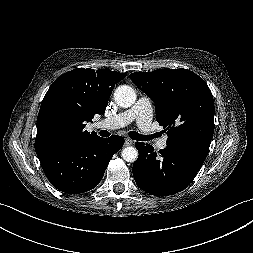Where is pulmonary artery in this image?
<instances>
[{"mask_svg": "<svg viewBox=\"0 0 253 253\" xmlns=\"http://www.w3.org/2000/svg\"><path fill=\"white\" fill-rule=\"evenodd\" d=\"M152 113L151 101L146 97H142L128 110L103 120L100 123V126L115 129L124 127L129 123L136 121L138 127L146 133L147 136H152L154 138L155 135H152L151 133ZM167 140V136L158 139L156 141V147L158 149L167 148Z\"/></svg>", "mask_w": 253, "mask_h": 253, "instance_id": "e3ab8cb5", "label": "pulmonary artery"}]
</instances>
